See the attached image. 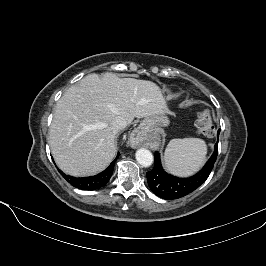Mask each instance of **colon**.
Returning a JSON list of instances; mask_svg holds the SVG:
<instances>
[{
	"mask_svg": "<svg viewBox=\"0 0 266 266\" xmlns=\"http://www.w3.org/2000/svg\"><path fill=\"white\" fill-rule=\"evenodd\" d=\"M197 133L206 137L214 134V126L209 111L203 110L198 113L196 120Z\"/></svg>",
	"mask_w": 266,
	"mask_h": 266,
	"instance_id": "1",
	"label": "colon"
}]
</instances>
